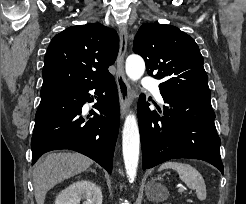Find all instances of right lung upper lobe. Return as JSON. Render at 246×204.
<instances>
[{
	"label": "right lung upper lobe",
	"mask_w": 246,
	"mask_h": 204,
	"mask_svg": "<svg viewBox=\"0 0 246 204\" xmlns=\"http://www.w3.org/2000/svg\"><path fill=\"white\" fill-rule=\"evenodd\" d=\"M119 37L100 23L72 26L57 34L44 58L42 91L106 80L117 57Z\"/></svg>",
	"instance_id": "obj_1"
}]
</instances>
